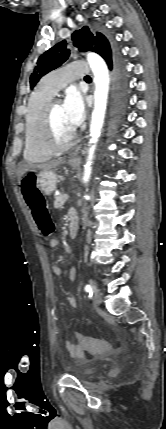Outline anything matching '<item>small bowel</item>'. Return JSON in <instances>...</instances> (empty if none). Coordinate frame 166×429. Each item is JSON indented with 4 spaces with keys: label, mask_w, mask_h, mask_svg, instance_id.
<instances>
[{
    "label": "small bowel",
    "mask_w": 166,
    "mask_h": 429,
    "mask_svg": "<svg viewBox=\"0 0 166 429\" xmlns=\"http://www.w3.org/2000/svg\"><path fill=\"white\" fill-rule=\"evenodd\" d=\"M49 245L51 248H57L59 246L58 239L56 238L51 239L49 242ZM52 272L57 276H61L64 274V270L57 265L52 266ZM67 276L71 281H75L77 277L76 268L71 267L67 271ZM68 302L72 308H77V303L73 296L70 295L68 297ZM64 346L73 358L78 360H85L86 358L85 349L82 346L74 344L70 341H65Z\"/></svg>",
    "instance_id": "obj_1"
}]
</instances>
